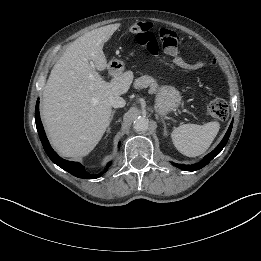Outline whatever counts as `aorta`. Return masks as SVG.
I'll return each mask as SVG.
<instances>
[{
	"label": "aorta",
	"mask_w": 261,
	"mask_h": 261,
	"mask_svg": "<svg viewBox=\"0 0 261 261\" xmlns=\"http://www.w3.org/2000/svg\"><path fill=\"white\" fill-rule=\"evenodd\" d=\"M149 128V120L145 117H138L134 121V129L137 132H145Z\"/></svg>",
	"instance_id": "obj_1"
}]
</instances>
